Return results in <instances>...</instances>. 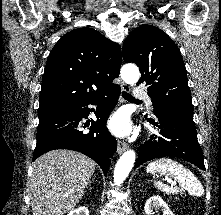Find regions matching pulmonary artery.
<instances>
[{
    "label": "pulmonary artery",
    "instance_id": "obj_1",
    "mask_svg": "<svg viewBox=\"0 0 221 215\" xmlns=\"http://www.w3.org/2000/svg\"><path fill=\"white\" fill-rule=\"evenodd\" d=\"M134 97H135V99H146L149 107H151L152 103H151L150 99L148 98L145 91H143L141 89H135L134 90Z\"/></svg>",
    "mask_w": 221,
    "mask_h": 215
}]
</instances>
